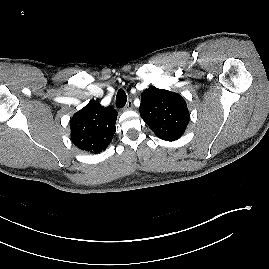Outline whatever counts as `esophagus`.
Segmentation results:
<instances>
[{
    "instance_id": "esophagus-1",
    "label": "esophagus",
    "mask_w": 269,
    "mask_h": 269,
    "mask_svg": "<svg viewBox=\"0 0 269 269\" xmlns=\"http://www.w3.org/2000/svg\"><path fill=\"white\" fill-rule=\"evenodd\" d=\"M133 108L132 100H128L127 104L125 105V110H131Z\"/></svg>"
}]
</instances>
